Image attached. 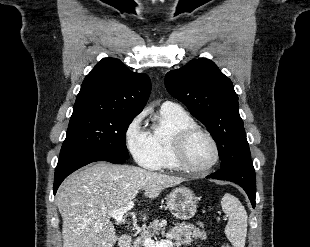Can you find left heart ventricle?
I'll return each mask as SVG.
<instances>
[{
	"mask_svg": "<svg viewBox=\"0 0 310 247\" xmlns=\"http://www.w3.org/2000/svg\"><path fill=\"white\" fill-rule=\"evenodd\" d=\"M187 157L194 168L210 164L214 158V149L209 139L202 134L195 135L188 144Z\"/></svg>",
	"mask_w": 310,
	"mask_h": 247,
	"instance_id": "b2bd125f",
	"label": "left heart ventricle"
}]
</instances>
